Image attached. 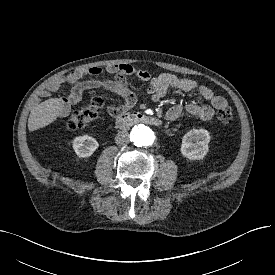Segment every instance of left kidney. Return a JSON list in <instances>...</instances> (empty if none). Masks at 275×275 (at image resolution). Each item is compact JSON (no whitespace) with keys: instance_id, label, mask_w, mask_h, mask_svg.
I'll return each instance as SVG.
<instances>
[{"instance_id":"obj_1","label":"left kidney","mask_w":275,"mask_h":275,"mask_svg":"<svg viewBox=\"0 0 275 275\" xmlns=\"http://www.w3.org/2000/svg\"><path fill=\"white\" fill-rule=\"evenodd\" d=\"M210 133L205 129H192L182 139L181 154L189 160H201L208 153Z\"/></svg>"}]
</instances>
